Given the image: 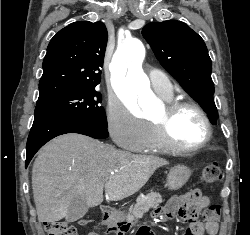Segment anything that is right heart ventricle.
I'll use <instances>...</instances> for the list:
<instances>
[{"label": "right heart ventricle", "instance_id": "right-heart-ventricle-1", "mask_svg": "<svg viewBox=\"0 0 250 235\" xmlns=\"http://www.w3.org/2000/svg\"><path fill=\"white\" fill-rule=\"evenodd\" d=\"M165 101L170 102L172 99L171 97H162ZM168 149L161 143L159 140L156 128L152 125H148V137L143 145V147L139 150L140 152L144 153H155V152H163L167 151Z\"/></svg>", "mask_w": 250, "mask_h": 235}]
</instances>
